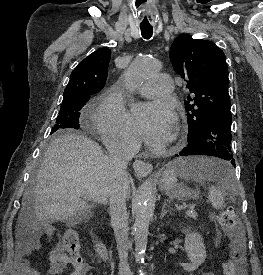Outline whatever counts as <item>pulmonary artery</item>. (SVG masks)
Returning a JSON list of instances; mask_svg holds the SVG:
<instances>
[{
	"mask_svg": "<svg viewBox=\"0 0 263 275\" xmlns=\"http://www.w3.org/2000/svg\"><path fill=\"white\" fill-rule=\"evenodd\" d=\"M173 91V82L166 74H157L146 80L139 88V93L145 98L166 96Z\"/></svg>",
	"mask_w": 263,
	"mask_h": 275,
	"instance_id": "1",
	"label": "pulmonary artery"
}]
</instances>
